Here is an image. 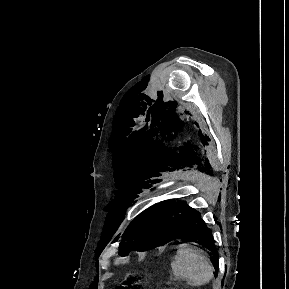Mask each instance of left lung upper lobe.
Here are the masks:
<instances>
[{"mask_svg":"<svg viewBox=\"0 0 289 289\" xmlns=\"http://www.w3.org/2000/svg\"><path fill=\"white\" fill-rule=\"evenodd\" d=\"M170 201L147 209L130 223L119 247L123 255L133 250L145 251L151 245L159 246L168 242V220L161 209Z\"/></svg>","mask_w":289,"mask_h":289,"instance_id":"obj_1","label":"left lung upper lobe"}]
</instances>
